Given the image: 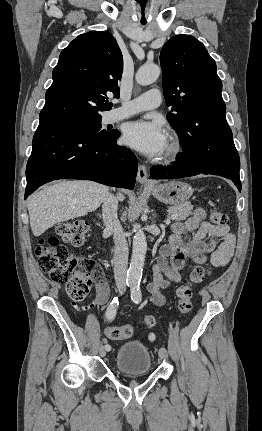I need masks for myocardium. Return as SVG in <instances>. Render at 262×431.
I'll use <instances>...</instances> for the list:
<instances>
[{
    "mask_svg": "<svg viewBox=\"0 0 262 431\" xmlns=\"http://www.w3.org/2000/svg\"><path fill=\"white\" fill-rule=\"evenodd\" d=\"M184 152L185 146L181 138L176 134H171L168 145L161 157V161L164 163L175 162L181 158Z\"/></svg>",
    "mask_w": 262,
    "mask_h": 431,
    "instance_id": "f54148a6",
    "label": "myocardium"
}]
</instances>
